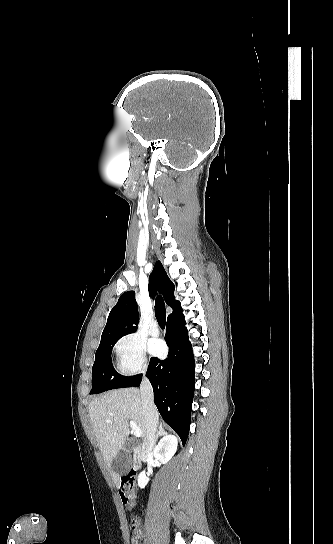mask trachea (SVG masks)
<instances>
[{"label":"trachea","instance_id":"obj_1","mask_svg":"<svg viewBox=\"0 0 333 544\" xmlns=\"http://www.w3.org/2000/svg\"><path fill=\"white\" fill-rule=\"evenodd\" d=\"M155 316L159 326L164 328L166 323V308L163 299L160 297L155 302Z\"/></svg>","mask_w":333,"mask_h":544}]
</instances>
